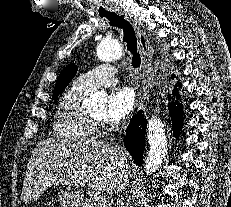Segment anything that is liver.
I'll use <instances>...</instances> for the list:
<instances>
[{
  "label": "liver",
  "mask_w": 231,
  "mask_h": 207,
  "mask_svg": "<svg viewBox=\"0 0 231 207\" xmlns=\"http://www.w3.org/2000/svg\"><path fill=\"white\" fill-rule=\"evenodd\" d=\"M130 174L127 160L123 166L115 146L95 140L47 139L31 153L21 197L33 202L48 187L59 184H87L93 190L118 193L127 186Z\"/></svg>",
  "instance_id": "obj_1"
}]
</instances>
